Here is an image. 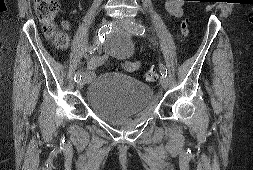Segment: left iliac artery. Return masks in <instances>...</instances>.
I'll return each instance as SVG.
<instances>
[{
  "instance_id": "left-iliac-artery-1",
  "label": "left iliac artery",
  "mask_w": 253,
  "mask_h": 170,
  "mask_svg": "<svg viewBox=\"0 0 253 170\" xmlns=\"http://www.w3.org/2000/svg\"><path fill=\"white\" fill-rule=\"evenodd\" d=\"M132 33L137 35H143L145 33V27L142 24H134L132 28ZM160 72L162 76L167 77V69L163 64H160Z\"/></svg>"
}]
</instances>
